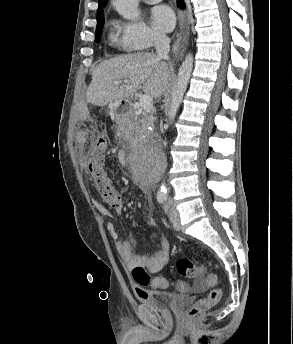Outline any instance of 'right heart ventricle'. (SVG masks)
Listing matches in <instances>:
<instances>
[{
	"label": "right heart ventricle",
	"instance_id": "right-heart-ventricle-1",
	"mask_svg": "<svg viewBox=\"0 0 293 344\" xmlns=\"http://www.w3.org/2000/svg\"><path fill=\"white\" fill-rule=\"evenodd\" d=\"M109 37H110V40H111L113 43H115V44H117V45H120L119 39L117 38V36L114 34L113 31L110 32Z\"/></svg>",
	"mask_w": 293,
	"mask_h": 344
}]
</instances>
